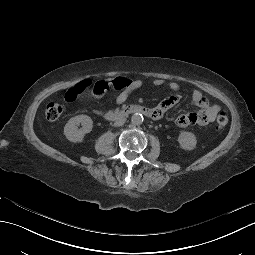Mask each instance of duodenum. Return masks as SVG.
I'll return each instance as SVG.
<instances>
[{
	"label": "duodenum",
	"instance_id": "1",
	"mask_svg": "<svg viewBox=\"0 0 255 255\" xmlns=\"http://www.w3.org/2000/svg\"><path fill=\"white\" fill-rule=\"evenodd\" d=\"M135 113H140L153 119L157 118V115L154 109L144 107V106H139V105L124 106L122 108L109 110L100 114L103 115V117L108 120H116V119L123 118L130 114H135Z\"/></svg>",
	"mask_w": 255,
	"mask_h": 255
}]
</instances>
